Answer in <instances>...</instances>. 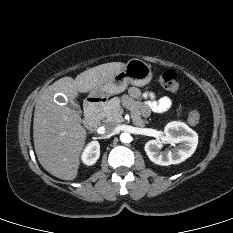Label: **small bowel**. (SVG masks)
I'll return each mask as SVG.
<instances>
[{"mask_svg":"<svg viewBox=\"0 0 233 233\" xmlns=\"http://www.w3.org/2000/svg\"><path fill=\"white\" fill-rule=\"evenodd\" d=\"M124 102L138 121L140 117H148L152 112L163 113L172 105V100L169 97L163 96L156 99L153 93H142L137 87L129 88L128 95L124 97Z\"/></svg>","mask_w":233,"mask_h":233,"instance_id":"1","label":"small bowel"}]
</instances>
